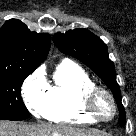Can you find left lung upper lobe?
<instances>
[{
	"instance_id": "obj_1",
	"label": "left lung upper lobe",
	"mask_w": 136,
	"mask_h": 136,
	"mask_svg": "<svg viewBox=\"0 0 136 136\" xmlns=\"http://www.w3.org/2000/svg\"><path fill=\"white\" fill-rule=\"evenodd\" d=\"M53 41L64 54L73 56L90 67L112 91L119 109L120 126L125 125V111L121 103V93L116 81L113 62L108 57L104 42L86 29H75L65 34L57 33Z\"/></svg>"
}]
</instances>
